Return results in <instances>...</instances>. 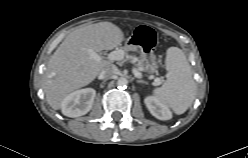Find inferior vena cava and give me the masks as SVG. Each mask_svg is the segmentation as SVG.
<instances>
[{
    "label": "inferior vena cava",
    "instance_id": "602c4592",
    "mask_svg": "<svg viewBox=\"0 0 248 158\" xmlns=\"http://www.w3.org/2000/svg\"><path fill=\"white\" fill-rule=\"evenodd\" d=\"M116 66L113 64H110L108 66H106L99 74V78L100 79H108L110 77H112L115 73H116Z\"/></svg>",
    "mask_w": 248,
    "mask_h": 158
}]
</instances>
